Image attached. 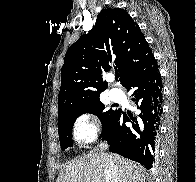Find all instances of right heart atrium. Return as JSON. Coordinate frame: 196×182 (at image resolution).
<instances>
[{
  "mask_svg": "<svg viewBox=\"0 0 196 182\" xmlns=\"http://www.w3.org/2000/svg\"><path fill=\"white\" fill-rule=\"evenodd\" d=\"M100 128L94 117L83 114L74 123L73 133L78 141L92 142L99 134Z\"/></svg>",
  "mask_w": 196,
  "mask_h": 182,
  "instance_id": "d8ad5b80",
  "label": "right heart atrium"
}]
</instances>
